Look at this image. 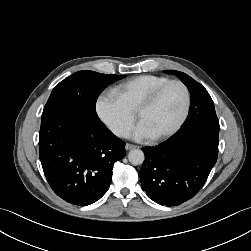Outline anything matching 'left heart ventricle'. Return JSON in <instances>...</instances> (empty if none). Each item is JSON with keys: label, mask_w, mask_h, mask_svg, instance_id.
I'll list each match as a JSON object with an SVG mask.
<instances>
[{"label": "left heart ventricle", "mask_w": 251, "mask_h": 251, "mask_svg": "<svg viewBox=\"0 0 251 251\" xmlns=\"http://www.w3.org/2000/svg\"><path fill=\"white\" fill-rule=\"evenodd\" d=\"M185 95L181 86L170 85L153 107L144 111L139 118L152 136L171 129L178 121L184 107Z\"/></svg>", "instance_id": "obj_1"}]
</instances>
